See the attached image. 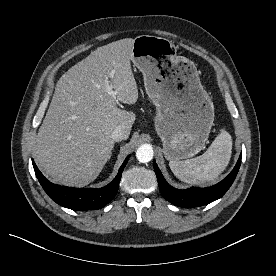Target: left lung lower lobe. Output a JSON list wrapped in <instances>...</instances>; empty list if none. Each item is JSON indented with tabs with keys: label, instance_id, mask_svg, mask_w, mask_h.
<instances>
[{
	"label": "left lung lower lobe",
	"instance_id": "left-lung-lower-lobe-1",
	"mask_svg": "<svg viewBox=\"0 0 276 276\" xmlns=\"http://www.w3.org/2000/svg\"><path fill=\"white\" fill-rule=\"evenodd\" d=\"M240 164L241 155L231 173L225 179L214 186L207 188L192 187L185 190H179L171 187L165 181L156 162H153L154 170L158 179L159 189L162 196L172 204L184 208L207 205L222 197L234 182L240 168Z\"/></svg>",
	"mask_w": 276,
	"mask_h": 276
}]
</instances>
